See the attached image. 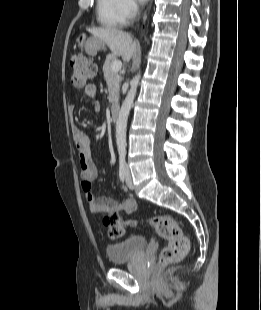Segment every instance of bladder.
Returning a JSON list of instances; mask_svg holds the SVG:
<instances>
[{
	"label": "bladder",
	"instance_id": "31cf9c89",
	"mask_svg": "<svg viewBox=\"0 0 261 310\" xmlns=\"http://www.w3.org/2000/svg\"><path fill=\"white\" fill-rule=\"evenodd\" d=\"M147 245L141 235H130L107 246L106 252L113 264H122L135 258Z\"/></svg>",
	"mask_w": 261,
	"mask_h": 310
}]
</instances>
